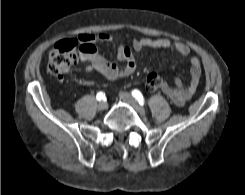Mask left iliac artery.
Returning <instances> with one entry per match:
<instances>
[{
    "label": "left iliac artery",
    "mask_w": 245,
    "mask_h": 195,
    "mask_svg": "<svg viewBox=\"0 0 245 195\" xmlns=\"http://www.w3.org/2000/svg\"><path fill=\"white\" fill-rule=\"evenodd\" d=\"M132 96L136 99V100H138V102H139V104L140 105H143L144 104V98H143V95H142V93L139 91V90H133L132 91Z\"/></svg>",
    "instance_id": "left-iliac-artery-1"
}]
</instances>
